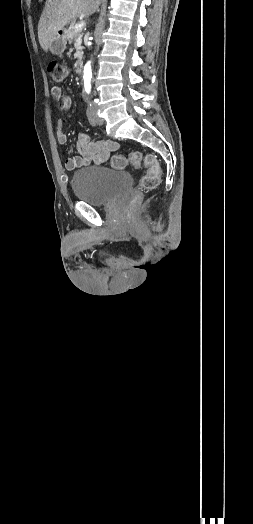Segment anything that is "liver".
<instances>
[{"mask_svg":"<svg viewBox=\"0 0 253 524\" xmlns=\"http://www.w3.org/2000/svg\"><path fill=\"white\" fill-rule=\"evenodd\" d=\"M101 4V0H46L38 23V39L47 52L50 43L59 30L77 16L89 17Z\"/></svg>","mask_w":253,"mask_h":524,"instance_id":"liver-1","label":"liver"}]
</instances>
